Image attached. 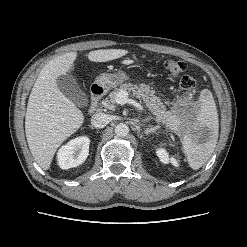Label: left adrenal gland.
<instances>
[{"label": "left adrenal gland", "mask_w": 247, "mask_h": 247, "mask_svg": "<svg viewBox=\"0 0 247 247\" xmlns=\"http://www.w3.org/2000/svg\"><path fill=\"white\" fill-rule=\"evenodd\" d=\"M158 129H160V126H159V125H157V126H155V127L149 126V127L146 129L145 134H146V135H149L150 133H155Z\"/></svg>", "instance_id": "a2214340"}]
</instances>
